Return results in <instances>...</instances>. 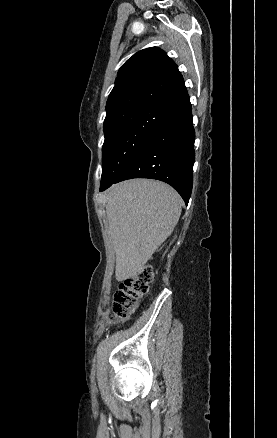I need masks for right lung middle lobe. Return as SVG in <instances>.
<instances>
[{
  "instance_id": "right-lung-middle-lobe-1",
  "label": "right lung middle lobe",
  "mask_w": 277,
  "mask_h": 438,
  "mask_svg": "<svg viewBox=\"0 0 277 438\" xmlns=\"http://www.w3.org/2000/svg\"><path fill=\"white\" fill-rule=\"evenodd\" d=\"M165 113L158 110L137 116L118 115L105 119L101 185L118 177Z\"/></svg>"
}]
</instances>
